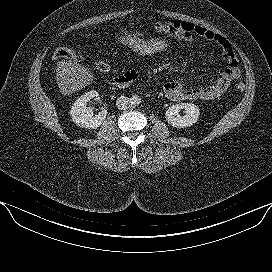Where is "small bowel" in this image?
Segmentation results:
<instances>
[{
  "instance_id": "c3829d8e",
  "label": "small bowel",
  "mask_w": 272,
  "mask_h": 272,
  "mask_svg": "<svg viewBox=\"0 0 272 272\" xmlns=\"http://www.w3.org/2000/svg\"><path fill=\"white\" fill-rule=\"evenodd\" d=\"M157 33L169 35L178 45L186 48L193 46V37L199 36L219 46L225 68L211 82L199 88L187 87L181 81H169L164 84L163 90L167 98L173 101L202 100L211 101L220 98L228 89L231 82L240 76L238 59L231 43L224 36L202 25L189 21L169 20L158 22L155 25ZM121 35L128 37H145L146 32L141 29L123 28ZM128 76L136 77L135 71H128Z\"/></svg>"
}]
</instances>
